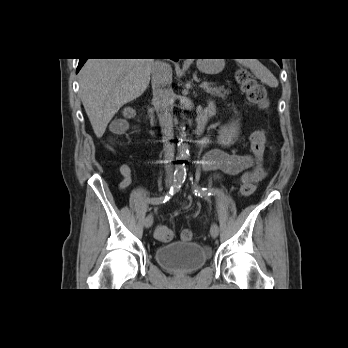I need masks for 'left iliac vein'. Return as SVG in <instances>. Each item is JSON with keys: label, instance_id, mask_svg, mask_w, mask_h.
I'll return each instance as SVG.
<instances>
[{"label": "left iliac vein", "instance_id": "4c4485c4", "mask_svg": "<svg viewBox=\"0 0 348 348\" xmlns=\"http://www.w3.org/2000/svg\"><path fill=\"white\" fill-rule=\"evenodd\" d=\"M210 234L213 238H216L219 234V227L216 223H213L210 228Z\"/></svg>", "mask_w": 348, "mask_h": 348}]
</instances>
